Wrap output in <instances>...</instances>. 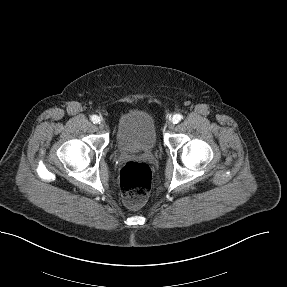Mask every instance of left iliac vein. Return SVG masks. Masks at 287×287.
Segmentation results:
<instances>
[{
	"mask_svg": "<svg viewBox=\"0 0 287 287\" xmlns=\"http://www.w3.org/2000/svg\"><path fill=\"white\" fill-rule=\"evenodd\" d=\"M174 126H175V125H174L173 122H169L168 125H167V127H168L169 129H173Z\"/></svg>",
	"mask_w": 287,
	"mask_h": 287,
	"instance_id": "4c4485c4",
	"label": "left iliac vein"
}]
</instances>
